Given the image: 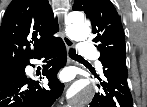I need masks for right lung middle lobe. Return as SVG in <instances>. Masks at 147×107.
<instances>
[{
	"label": "right lung middle lobe",
	"mask_w": 147,
	"mask_h": 107,
	"mask_svg": "<svg viewBox=\"0 0 147 107\" xmlns=\"http://www.w3.org/2000/svg\"><path fill=\"white\" fill-rule=\"evenodd\" d=\"M24 70V67H9L5 69H0V81L15 75L17 73H20Z\"/></svg>",
	"instance_id": "dd1d6c3e"
}]
</instances>
